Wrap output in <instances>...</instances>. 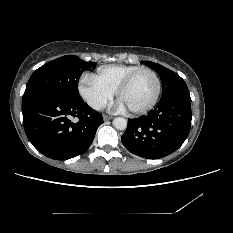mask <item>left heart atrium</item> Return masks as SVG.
<instances>
[{
	"instance_id": "obj_1",
	"label": "left heart atrium",
	"mask_w": 233,
	"mask_h": 233,
	"mask_svg": "<svg viewBox=\"0 0 233 233\" xmlns=\"http://www.w3.org/2000/svg\"><path fill=\"white\" fill-rule=\"evenodd\" d=\"M124 104L122 103V101L119 99V101L116 103V108L119 110L124 109Z\"/></svg>"
}]
</instances>
